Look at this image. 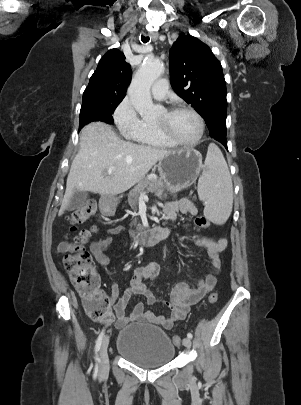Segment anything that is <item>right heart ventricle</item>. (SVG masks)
<instances>
[{
	"instance_id": "e07e8e85",
	"label": "right heart ventricle",
	"mask_w": 301,
	"mask_h": 405,
	"mask_svg": "<svg viewBox=\"0 0 301 405\" xmlns=\"http://www.w3.org/2000/svg\"><path fill=\"white\" fill-rule=\"evenodd\" d=\"M130 138L140 144L153 147L165 148L174 146L172 143L168 142L159 135L153 123L147 121H143L139 129L130 135Z\"/></svg>"
}]
</instances>
